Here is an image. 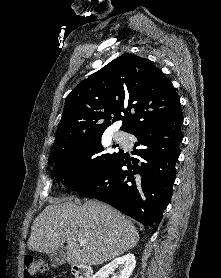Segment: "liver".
I'll use <instances>...</instances> for the list:
<instances>
[{"label":"liver","mask_w":221,"mask_h":278,"mask_svg":"<svg viewBox=\"0 0 221 278\" xmlns=\"http://www.w3.org/2000/svg\"><path fill=\"white\" fill-rule=\"evenodd\" d=\"M138 241L132 222L116 209L96 200L81 205L67 198L50 199L33 222L27 245L31 251L50 254L67 242L68 264L100 265L129 251Z\"/></svg>","instance_id":"obj_1"}]
</instances>
